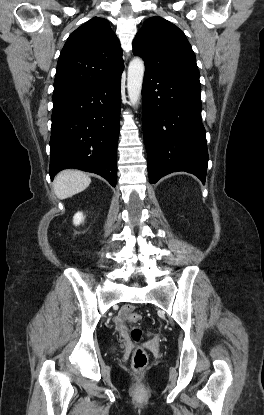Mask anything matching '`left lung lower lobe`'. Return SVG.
I'll use <instances>...</instances> for the list:
<instances>
[{
  "label": "left lung lower lobe",
  "instance_id": "1",
  "mask_svg": "<svg viewBox=\"0 0 264 415\" xmlns=\"http://www.w3.org/2000/svg\"><path fill=\"white\" fill-rule=\"evenodd\" d=\"M200 96L199 81L145 70L143 134L151 184L176 171L192 173L204 184L208 150Z\"/></svg>",
  "mask_w": 264,
  "mask_h": 415
}]
</instances>
